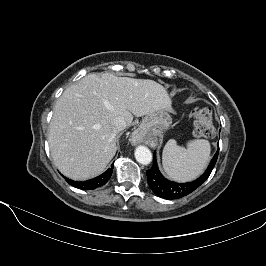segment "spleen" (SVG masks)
Instances as JSON below:
<instances>
[{
    "label": "spleen",
    "instance_id": "1",
    "mask_svg": "<svg viewBox=\"0 0 266 266\" xmlns=\"http://www.w3.org/2000/svg\"><path fill=\"white\" fill-rule=\"evenodd\" d=\"M210 151V143L204 139L190 140L187 148L177 145L171 139L163 149V169L169 177L177 181L193 180L206 168Z\"/></svg>",
    "mask_w": 266,
    "mask_h": 266
}]
</instances>
